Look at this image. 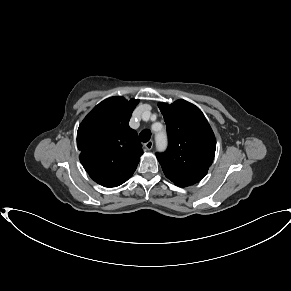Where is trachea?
<instances>
[{"mask_svg":"<svg viewBox=\"0 0 291 291\" xmlns=\"http://www.w3.org/2000/svg\"><path fill=\"white\" fill-rule=\"evenodd\" d=\"M139 137L142 142H148L151 138V132L149 130H143L140 132Z\"/></svg>","mask_w":291,"mask_h":291,"instance_id":"trachea-1","label":"trachea"}]
</instances>
